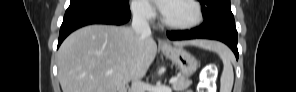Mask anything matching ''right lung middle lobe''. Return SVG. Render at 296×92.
Here are the masks:
<instances>
[{
	"instance_id": "right-lung-middle-lobe-1",
	"label": "right lung middle lobe",
	"mask_w": 296,
	"mask_h": 92,
	"mask_svg": "<svg viewBox=\"0 0 296 92\" xmlns=\"http://www.w3.org/2000/svg\"><path fill=\"white\" fill-rule=\"evenodd\" d=\"M71 1H73V0H71ZM101 1L110 3L115 6H120V7L129 4V0H101Z\"/></svg>"
}]
</instances>
